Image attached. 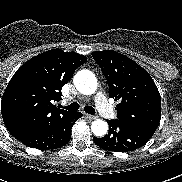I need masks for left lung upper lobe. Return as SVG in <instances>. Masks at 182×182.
<instances>
[{
  "label": "left lung upper lobe",
  "mask_w": 182,
  "mask_h": 182,
  "mask_svg": "<svg viewBox=\"0 0 182 182\" xmlns=\"http://www.w3.org/2000/svg\"><path fill=\"white\" fill-rule=\"evenodd\" d=\"M92 57L107 80L109 97L119 101L115 108L116 120L157 128L161 119V98L149 73L116 51H95Z\"/></svg>",
  "instance_id": "obj_1"
}]
</instances>
